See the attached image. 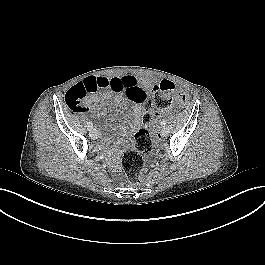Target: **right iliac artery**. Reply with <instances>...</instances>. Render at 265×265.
<instances>
[{
  "label": "right iliac artery",
  "mask_w": 265,
  "mask_h": 265,
  "mask_svg": "<svg viewBox=\"0 0 265 265\" xmlns=\"http://www.w3.org/2000/svg\"><path fill=\"white\" fill-rule=\"evenodd\" d=\"M87 129L91 131L93 129V124L91 122L87 123Z\"/></svg>",
  "instance_id": "82829eb1"
}]
</instances>
